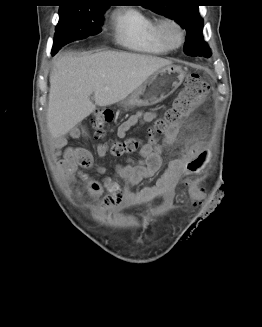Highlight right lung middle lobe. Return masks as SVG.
<instances>
[{
  "mask_svg": "<svg viewBox=\"0 0 262 327\" xmlns=\"http://www.w3.org/2000/svg\"><path fill=\"white\" fill-rule=\"evenodd\" d=\"M105 6L95 3H68L60 6L52 54L63 45L101 32Z\"/></svg>",
  "mask_w": 262,
  "mask_h": 327,
  "instance_id": "dd1d6c3e",
  "label": "right lung middle lobe"
}]
</instances>
